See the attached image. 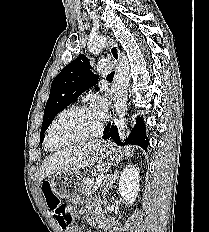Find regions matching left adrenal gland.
<instances>
[{"label":"left adrenal gland","mask_w":209,"mask_h":232,"mask_svg":"<svg viewBox=\"0 0 209 232\" xmlns=\"http://www.w3.org/2000/svg\"><path fill=\"white\" fill-rule=\"evenodd\" d=\"M117 174L114 175H108L103 183L104 189H103V195L104 198L106 196V193L108 192L109 188L112 186L113 182L116 180Z\"/></svg>","instance_id":"a2214340"}]
</instances>
